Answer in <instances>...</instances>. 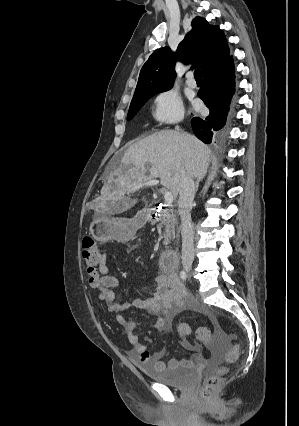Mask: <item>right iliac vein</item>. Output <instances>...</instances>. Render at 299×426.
I'll list each match as a JSON object with an SVG mask.
<instances>
[{
	"label": "right iliac vein",
	"instance_id": "right-iliac-vein-1",
	"mask_svg": "<svg viewBox=\"0 0 299 426\" xmlns=\"http://www.w3.org/2000/svg\"><path fill=\"white\" fill-rule=\"evenodd\" d=\"M185 269H186L187 271H189V270H190V266L185 265Z\"/></svg>",
	"mask_w": 299,
	"mask_h": 426
}]
</instances>
